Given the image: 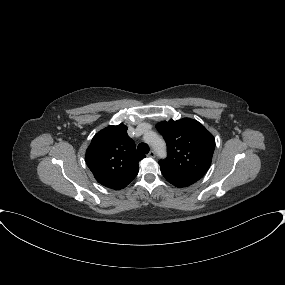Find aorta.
<instances>
[{
  "label": "aorta",
  "mask_w": 285,
  "mask_h": 285,
  "mask_svg": "<svg viewBox=\"0 0 285 285\" xmlns=\"http://www.w3.org/2000/svg\"><path fill=\"white\" fill-rule=\"evenodd\" d=\"M145 141L152 146L159 157H166V143L155 132H150L147 137H145Z\"/></svg>",
  "instance_id": "1"
}]
</instances>
